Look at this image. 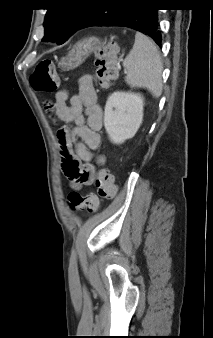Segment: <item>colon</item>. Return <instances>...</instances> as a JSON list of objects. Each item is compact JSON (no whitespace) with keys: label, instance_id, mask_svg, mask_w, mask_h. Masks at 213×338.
<instances>
[{"label":"colon","instance_id":"1","mask_svg":"<svg viewBox=\"0 0 213 338\" xmlns=\"http://www.w3.org/2000/svg\"><path fill=\"white\" fill-rule=\"evenodd\" d=\"M119 57V48L115 43H108L97 47V56L95 59V76L100 83L108 86L117 73L116 63ZM30 85L38 93H53L59 88V78L56 68L51 60L40 61L29 78ZM65 156L62 162V169L68 178H72L77 171L83 166L80 161L74 158L69 149L62 150ZM100 162L104 159L100 158ZM97 193L82 195L76 191L68 194V203L73 211H87L94 213L98 210L100 199L112 198L116 191L117 185L113 175L106 169H100L96 179Z\"/></svg>","mask_w":213,"mask_h":338}]
</instances>
